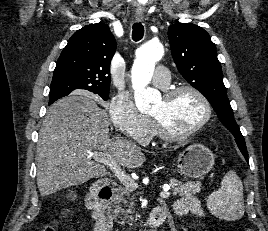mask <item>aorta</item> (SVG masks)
I'll return each mask as SVG.
<instances>
[{"label":"aorta","instance_id":"1","mask_svg":"<svg viewBox=\"0 0 268 231\" xmlns=\"http://www.w3.org/2000/svg\"><path fill=\"white\" fill-rule=\"evenodd\" d=\"M163 45L159 42H148L136 52V59L132 66L131 77L134 89L135 104L139 111H148L151 102L160 97V93L149 88L155 63L163 57Z\"/></svg>","mask_w":268,"mask_h":231}]
</instances>
